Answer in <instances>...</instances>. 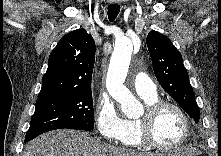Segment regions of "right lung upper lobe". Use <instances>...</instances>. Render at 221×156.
Wrapping results in <instances>:
<instances>
[{"instance_id": "right-lung-upper-lobe-1", "label": "right lung upper lobe", "mask_w": 221, "mask_h": 156, "mask_svg": "<svg viewBox=\"0 0 221 156\" xmlns=\"http://www.w3.org/2000/svg\"><path fill=\"white\" fill-rule=\"evenodd\" d=\"M95 42L84 29L64 35L49 56L38 98L91 90Z\"/></svg>"}]
</instances>
